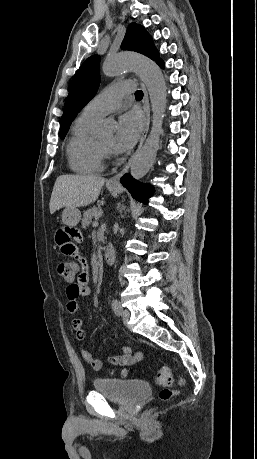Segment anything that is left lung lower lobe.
Masks as SVG:
<instances>
[{
    "instance_id": "obj_1",
    "label": "left lung lower lobe",
    "mask_w": 257,
    "mask_h": 459,
    "mask_svg": "<svg viewBox=\"0 0 257 459\" xmlns=\"http://www.w3.org/2000/svg\"><path fill=\"white\" fill-rule=\"evenodd\" d=\"M157 64L161 67L164 68V63L162 60H159ZM120 182L123 184L125 188L129 190V192L132 194V196L136 199H138L140 202H143L144 204H147L148 198L152 194V189L151 187L147 185H143L141 183H138L136 180H134L130 174L124 175Z\"/></svg>"
}]
</instances>
